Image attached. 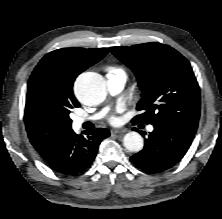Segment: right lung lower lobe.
<instances>
[{"mask_svg": "<svg viewBox=\"0 0 222 219\" xmlns=\"http://www.w3.org/2000/svg\"><path fill=\"white\" fill-rule=\"evenodd\" d=\"M74 132L62 144L57 155L48 162L50 167L65 175H75L85 170L94 160L100 142L110 135L106 128Z\"/></svg>", "mask_w": 222, "mask_h": 219, "instance_id": "98d812e1", "label": "right lung lower lobe"}]
</instances>
